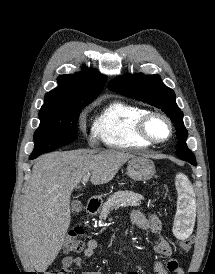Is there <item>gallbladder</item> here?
Masks as SVG:
<instances>
[{"mask_svg": "<svg viewBox=\"0 0 215 274\" xmlns=\"http://www.w3.org/2000/svg\"><path fill=\"white\" fill-rule=\"evenodd\" d=\"M82 203L80 201H73L71 204V210L73 213H79L82 210Z\"/></svg>", "mask_w": 215, "mask_h": 274, "instance_id": "gallbladder-1", "label": "gallbladder"}]
</instances>
